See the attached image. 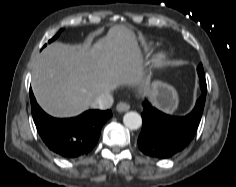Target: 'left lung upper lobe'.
<instances>
[{"label": "left lung upper lobe", "instance_id": "obj_1", "mask_svg": "<svg viewBox=\"0 0 236 187\" xmlns=\"http://www.w3.org/2000/svg\"><path fill=\"white\" fill-rule=\"evenodd\" d=\"M197 71L199 74L200 86L202 87V89H204V88L207 89L206 80H205V73H204V69H203L202 64H199Z\"/></svg>", "mask_w": 236, "mask_h": 187}]
</instances>
